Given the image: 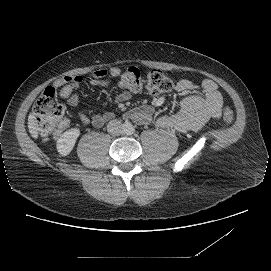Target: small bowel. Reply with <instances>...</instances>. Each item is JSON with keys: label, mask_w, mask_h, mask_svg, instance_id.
I'll return each instance as SVG.
<instances>
[{"label": "small bowel", "mask_w": 271, "mask_h": 271, "mask_svg": "<svg viewBox=\"0 0 271 271\" xmlns=\"http://www.w3.org/2000/svg\"><path fill=\"white\" fill-rule=\"evenodd\" d=\"M118 67H112L107 70H97L92 73V79L89 84L93 87H107L110 81L107 75L117 77L120 75ZM83 81L80 75H68L55 80L53 87L59 90L60 98L67 101L70 106H77L79 96L77 89ZM179 93H187L178 102L176 112L160 116L156 119V126L164 129H174L181 133L200 130L211 119L221 117L224 103L218 85L212 80H204L197 85L191 80L182 79L176 87ZM131 97L130 91L124 90L116 97L118 103H123ZM131 118L140 124H147L152 119V108L142 106L135 109L130 114ZM113 118L112 112L95 113L90 116L82 114L80 118L81 125L91 123L95 127H101ZM60 132H57L58 135Z\"/></svg>", "instance_id": "obj_1"}]
</instances>
